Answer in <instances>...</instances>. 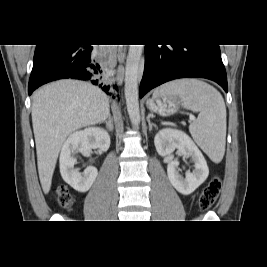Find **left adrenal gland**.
Wrapping results in <instances>:
<instances>
[{"label":"left adrenal gland","instance_id":"1","mask_svg":"<svg viewBox=\"0 0 267 267\" xmlns=\"http://www.w3.org/2000/svg\"><path fill=\"white\" fill-rule=\"evenodd\" d=\"M151 117H152V114H149L148 117H147V122H148V125H149V131H151L153 127H154V128H157L156 124H154V123H152V122L150 121V118H151Z\"/></svg>","mask_w":267,"mask_h":267}]
</instances>
